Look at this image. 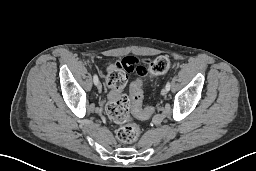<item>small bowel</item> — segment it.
<instances>
[{"mask_svg": "<svg viewBox=\"0 0 256 171\" xmlns=\"http://www.w3.org/2000/svg\"><path fill=\"white\" fill-rule=\"evenodd\" d=\"M118 68L123 69L126 73L135 72L139 75H147L149 73V69L145 65V61L136 56H126L119 62L108 64L107 71L110 73L114 69ZM148 116L149 115L139 118L146 119Z\"/></svg>", "mask_w": 256, "mask_h": 171, "instance_id": "1", "label": "small bowel"}]
</instances>
